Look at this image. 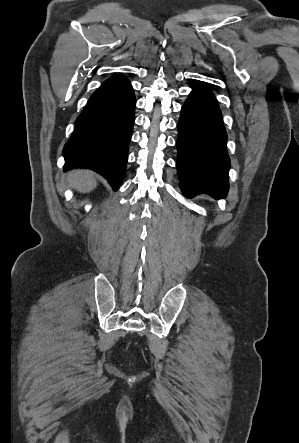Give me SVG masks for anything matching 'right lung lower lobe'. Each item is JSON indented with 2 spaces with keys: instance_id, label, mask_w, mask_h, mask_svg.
<instances>
[{
  "instance_id": "1",
  "label": "right lung lower lobe",
  "mask_w": 299,
  "mask_h": 443,
  "mask_svg": "<svg viewBox=\"0 0 299 443\" xmlns=\"http://www.w3.org/2000/svg\"><path fill=\"white\" fill-rule=\"evenodd\" d=\"M135 106L133 88L123 75L103 82L78 116L64 146V171L92 169L118 190L126 168Z\"/></svg>"
}]
</instances>
